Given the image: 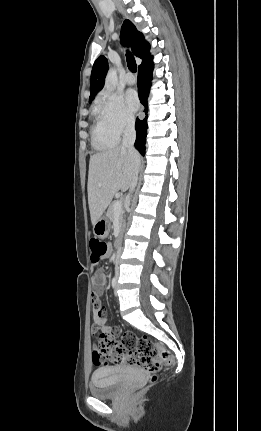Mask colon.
Listing matches in <instances>:
<instances>
[{
  "label": "colon",
  "mask_w": 261,
  "mask_h": 431,
  "mask_svg": "<svg viewBox=\"0 0 261 431\" xmlns=\"http://www.w3.org/2000/svg\"><path fill=\"white\" fill-rule=\"evenodd\" d=\"M91 262L99 263L108 254V245L99 239L90 242ZM99 347L95 352L98 360L94 362L96 369H102L104 363H114L139 366L151 374L152 379L166 365L171 363V356L167 349L147 337H138L133 332H126L120 340L111 334H101Z\"/></svg>",
  "instance_id": "5ec220e1"
}]
</instances>
